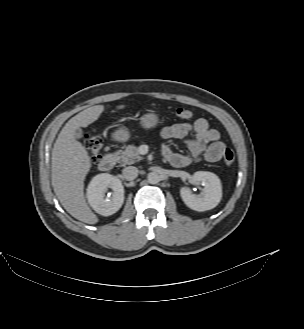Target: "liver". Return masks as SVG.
Listing matches in <instances>:
<instances>
[{"label":"liver","instance_id":"liver-1","mask_svg":"<svg viewBox=\"0 0 304 329\" xmlns=\"http://www.w3.org/2000/svg\"><path fill=\"white\" fill-rule=\"evenodd\" d=\"M125 107L118 105L116 108ZM103 111V105H95L72 117L60 131L52 150L51 179L54 192L70 215L87 224L98 222L84 196V180L91 168V161L84 146L75 139V131L95 122Z\"/></svg>","mask_w":304,"mask_h":329}]
</instances>
